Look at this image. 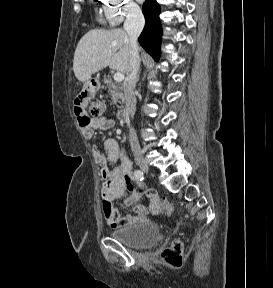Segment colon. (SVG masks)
Listing matches in <instances>:
<instances>
[{
  "label": "colon",
  "instance_id": "5ec220e1",
  "mask_svg": "<svg viewBox=\"0 0 273 288\" xmlns=\"http://www.w3.org/2000/svg\"><path fill=\"white\" fill-rule=\"evenodd\" d=\"M74 112L77 117L78 123L81 127H86L91 119L88 111L83 106L80 100H76L74 103ZM89 112L95 116L102 112V104L99 101H95L91 104ZM161 208L168 214L172 212V206L169 202L163 201ZM162 259L173 267H180L183 263V247L179 241H174L170 246L166 247L161 253Z\"/></svg>",
  "mask_w": 273,
  "mask_h": 288
}]
</instances>
